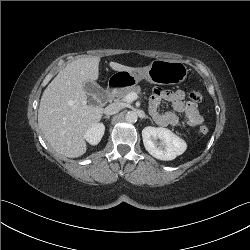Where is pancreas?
<instances>
[{"label": "pancreas", "mask_w": 250, "mask_h": 250, "mask_svg": "<svg viewBox=\"0 0 250 250\" xmlns=\"http://www.w3.org/2000/svg\"><path fill=\"white\" fill-rule=\"evenodd\" d=\"M131 92H135V93L139 94L141 92V87L140 86H130V87L118 89L115 92L116 101L127 102L125 100V97Z\"/></svg>", "instance_id": "cf45deb5"}]
</instances>
